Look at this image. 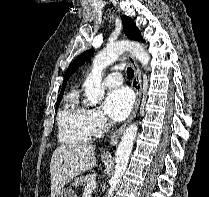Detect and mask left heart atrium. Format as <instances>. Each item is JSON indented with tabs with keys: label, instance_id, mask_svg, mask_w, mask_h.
Masks as SVG:
<instances>
[{
	"label": "left heart atrium",
	"instance_id": "obj_1",
	"mask_svg": "<svg viewBox=\"0 0 209 197\" xmlns=\"http://www.w3.org/2000/svg\"><path fill=\"white\" fill-rule=\"evenodd\" d=\"M134 97L127 87H116L107 94L104 108L106 113L115 121L123 120L130 112Z\"/></svg>",
	"mask_w": 209,
	"mask_h": 197
}]
</instances>
